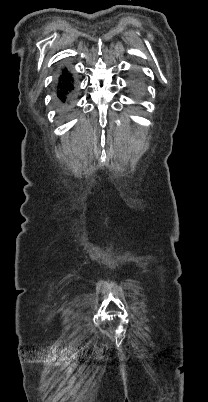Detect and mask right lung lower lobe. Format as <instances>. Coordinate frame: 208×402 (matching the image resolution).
<instances>
[{"label":"right lung lower lobe","instance_id":"1","mask_svg":"<svg viewBox=\"0 0 208 402\" xmlns=\"http://www.w3.org/2000/svg\"><path fill=\"white\" fill-rule=\"evenodd\" d=\"M74 89L75 86L72 74L67 69H63L55 88L56 102L62 106L69 105L73 97Z\"/></svg>","mask_w":208,"mask_h":402}]
</instances>
